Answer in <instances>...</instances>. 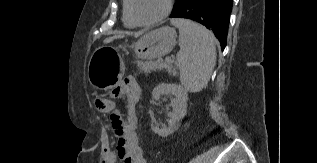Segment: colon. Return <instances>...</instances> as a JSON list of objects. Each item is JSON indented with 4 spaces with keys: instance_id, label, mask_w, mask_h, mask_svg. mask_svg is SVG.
I'll return each instance as SVG.
<instances>
[{
    "instance_id": "colon-1",
    "label": "colon",
    "mask_w": 317,
    "mask_h": 163,
    "mask_svg": "<svg viewBox=\"0 0 317 163\" xmlns=\"http://www.w3.org/2000/svg\"><path fill=\"white\" fill-rule=\"evenodd\" d=\"M97 109L104 112H111L110 118L112 122V126L115 131H121L123 127V121L121 114L118 110L115 109L114 104L103 96H98L95 101Z\"/></svg>"
}]
</instances>
